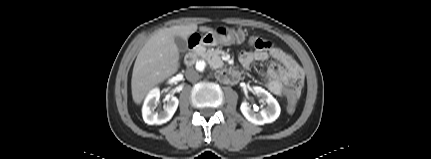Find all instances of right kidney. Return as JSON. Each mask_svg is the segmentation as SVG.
Wrapping results in <instances>:
<instances>
[{
	"label": "right kidney",
	"instance_id": "obj_1",
	"mask_svg": "<svg viewBox=\"0 0 431 159\" xmlns=\"http://www.w3.org/2000/svg\"><path fill=\"white\" fill-rule=\"evenodd\" d=\"M160 98V90L155 88L150 91L148 96L144 101L142 108V116L145 123L149 125H161L169 121L177 110L179 100L175 96H166L164 101L167 104L164 106L163 110L155 112V108Z\"/></svg>",
	"mask_w": 431,
	"mask_h": 159
}]
</instances>
